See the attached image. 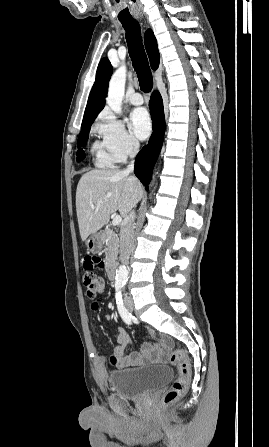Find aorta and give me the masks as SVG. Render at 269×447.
Here are the masks:
<instances>
[{
    "mask_svg": "<svg viewBox=\"0 0 269 447\" xmlns=\"http://www.w3.org/2000/svg\"><path fill=\"white\" fill-rule=\"evenodd\" d=\"M126 84V68L120 66L116 72H114L108 88V98H106V104L111 108L115 114H122V100L125 94ZM128 279V269L126 265H119L116 273L115 283H125Z\"/></svg>",
    "mask_w": 269,
    "mask_h": 447,
    "instance_id": "aorta-1",
    "label": "aorta"
}]
</instances>
